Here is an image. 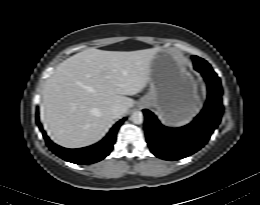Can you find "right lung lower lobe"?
Masks as SVG:
<instances>
[{"label": "right lung lower lobe", "instance_id": "obj_1", "mask_svg": "<svg viewBox=\"0 0 260 205\" xmlns=\"http://www.w3.org/2000/svg\"><path fill=\"white\" fill-rule=\"evenodd\" d=\"M38 111L36 113V120L39 125L40 130H43L41 124L39 123V116ZM126 118L120 120L117 122L113 128L110 130V132L107 134V136L101 140L99 143L85 147L80 149H67L60 147L56 144H54L46 135V133L43 131V137L49 146V148L54 152L57 156L60 158L75 163L79 165L84 164H92L95 162H98L105 158L109 153L111 152L113 148V144L116 140V133L119 129L120 125L124 122Z\"/></svg>", "mask_w": 260, "mask_h": 205}]
</instances>
